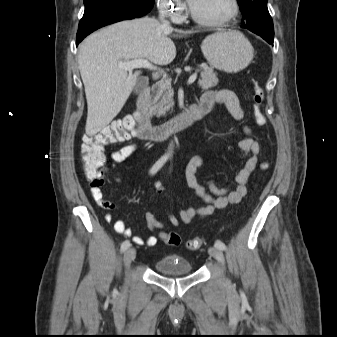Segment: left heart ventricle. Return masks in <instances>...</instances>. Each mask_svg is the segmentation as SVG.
Listing matches in <instances>:
<instances>
[{"label":"left heart ventricle","mask_w":337,"mask_h":337,"mask_svg":"<svg viewBox=\"0 0 337 337\" xmlns=\"http://www.w3.org/2000/svg\"><path fill=\"white\" fill-rule=\"evenodd\" d=\"M195 13L203 18L220 20L230 11V0H196L191 5Z\"/></svg>","instance_id":"1"}]
</instances>
